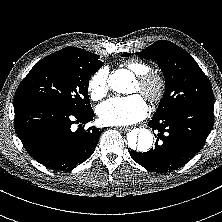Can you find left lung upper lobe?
<instances>
[{"mask_svg": "<svg viewBox=\"0 0 222 222\" xmlns=\"http://www.w3.org/2000/svg\"><path fill=\"white\" fill-rule=\"evenodd\" d=\"M136 54L157 61L165 77V93L154 116H162L192 104L214 105L208 78L197 62L179 46L162 40Z\"/></svg>", "mask_w": 222, "mask_h": 222, "instance_id": "1", "label": "left lung upper lobe"}]
</instances>
